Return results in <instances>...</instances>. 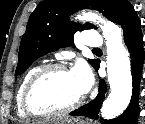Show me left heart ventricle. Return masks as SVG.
<instances>
[{
    "instance_id": "b2bd125f",
    "label": "left heart ventricle",
    "mask_w": 145,
    "mask_h": 124,
    "mask_svg": "<svg viewBox=\"0 0 145 124\" xmlns=\"http://www.w3.org/2000/svg\"><path fill=\"white\" fill-rule=\"evenodd\" d=\"M81 96L69 71H53L47 74L35 88L33 102L38 108H62Z\"/></svg>"
}]
</instances>
